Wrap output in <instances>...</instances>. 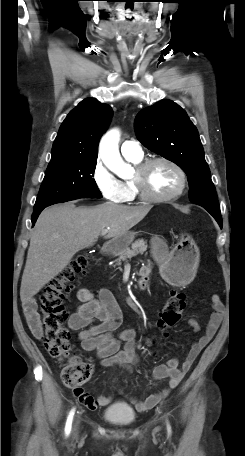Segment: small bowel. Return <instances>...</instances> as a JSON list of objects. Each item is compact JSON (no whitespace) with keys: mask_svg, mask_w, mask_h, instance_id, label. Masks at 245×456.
I'll use <instances>...</instances> for the list:
<instances>
[{"mask_svg":"<svg viewBox=\"0 0 245 456\" xmlns=\"http://www.w3.org/2000/svg\"><path fill=\"white\" fill-rule=\"evenodd\" d=\"M151 267L145 266L141 269V276L144 286L150 274ZM77 299L80 302L76 312L69 319V327L78 331V340L86 351H94L101 360L103 367L121 366L127 369L132 368L138 361L136 354L137 332L133 328L116 332L122 323L121 310L110 290L101 289L97 295L87 288H81L77 292ZM212 314L206 325L204 334L192 343L190 351L179 366L177 358H171L166 364L154 367L153 377L155 380L168 379V388L151 394L142 400L136 396H129L130 403L138 410H146L154 407L171 389L176 388L185 374L189 371L194 361L210 342L217 332L223 318L224 304L217 294L211 296ZM23 312L25 320L37 338L42 337V328L37 313V304L33 299L24 303ZM190 326L195 332L200 326L195 319L189 320ZM75 397L87 408L96 409L106 406L112 401V396L99 395L96 398L86 393L81 387L74 389ZM119 393L123 394L121 389Z\"/></svg>","mask_w":245,"mask_h":456,"instance_id":"obj_1","label":"small bowel"}]
</instances>
